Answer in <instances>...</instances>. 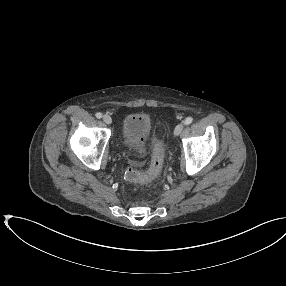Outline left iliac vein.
Returning <instances> with one entry per match:
<instances>
[{
  "mask_svg": "<svg viewBox=\"0 0 286 286\" xmlns=\"http://www.w3.org/2000/svg\"><path fill=\"white\" fill-rule=\"evenodd\" d=\"M184 129V125L182 123L178 124L176 127H175V130H174V135L175 136H178L181 134V132L183 131Z\"/></svg>",
  "mask_w": 286,
  "mask_h": 286,
  "instance_id": "1",
  "label": "left iliac vein"
}]
</instances>
